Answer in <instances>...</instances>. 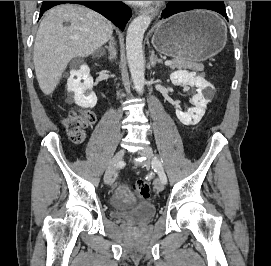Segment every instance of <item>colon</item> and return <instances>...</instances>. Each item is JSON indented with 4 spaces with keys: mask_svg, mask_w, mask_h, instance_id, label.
<instances>
[{
    "mask_svg": "<svg viewBox=\"0 0 271 266\" xmlns=\"http://www.w3.org/2000/svg\"><path fill=\"white\" fill-rule=\"evenodd\" d=\"M95 120V114L90 110L71 111L63 124L69 138L76 144L85 140V130ZM134 192L142 198L150 196V187L144 180H138L133 184Z\"/></svg>",
    "mask_w": 271,
    "mask_h": 266,
    "instance_id": "colon-1",
    "label": "colon"
}]
</instances>
